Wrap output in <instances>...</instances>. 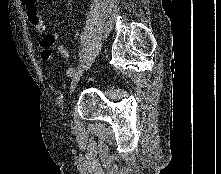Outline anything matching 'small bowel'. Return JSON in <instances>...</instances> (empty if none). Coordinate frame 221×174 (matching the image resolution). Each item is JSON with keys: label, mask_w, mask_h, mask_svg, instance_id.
<instances>
[{"label": "small bowel", "mask_w": 221, "mask_h": 174, "mask_svg": "<svg viewBox=\"0 0 221 174\" xmlns=\"http://www.w3.org/2000/svg\"><path fill=\"white\" fill-rule=\"evenodd\" d=\"M27 17L37 33H44L46 24L38 12V0H23ZM56 35L53 33L44 34L41 38L42 53L44 60H50L53 55ZM60 53L65 60L69 59V53L65 48H60Z\"/></svg>", "instance_id": "small-bowel-1"}]
</instances>
